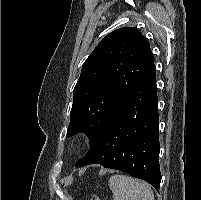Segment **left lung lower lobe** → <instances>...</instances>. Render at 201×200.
Returning <instances> with one entry per match:
<instances>
[{"label": "left lung lower lobe", "mask_w": 201, "mask_h": 200, "mask_svg": "<svg viewBox=\"0 0 201 200\" xmlns=\"http://www.w3.org/2000/svg\"><path fill=\"white\" fill-rule=\"evenodd\" d=\"M159 115L156 69L112 110L76 167L100 164L150 183L159 192Z\"/></svg>", "instance_id": "left-lung-lower-lobe-1"}]
</instances>
